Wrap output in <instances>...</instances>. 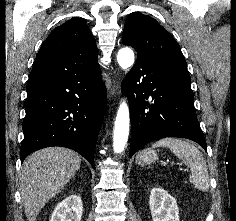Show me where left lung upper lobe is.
Listing matches in <instances>:
<instances>
[{
	"label": "left lung upper lobe",
	"instance_id": "5c2ea615",
	"mask_svg": "<svg viewBox=\"0 0 236 221\" xmlns=\"http://www.w3.org/2000/svg\"><path fill=\"white\" fill-rule=\"evenodd\" d=\"M122 42L137 51V58L154 61L189 76L179 44L154 18L131 13L125 22Z\"/></svg>",
	"mask_w": 236,
	"mask_h": 221
}]
</instances>
